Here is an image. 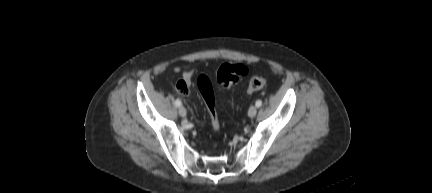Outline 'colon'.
<instances>
[{
  "label": "colon",
  "mask_w": 432,
  "mask_h": 193,
  "mask_svg": "<svg viewBox=\"0 0 432 193\" xmlns=\"http://www.w3.org/2000/svg\"><path fill=\"white\" fill-rule=\"evenodd\" d=\"M247 72V67L242 64H224L218 69L216 80L219 85L229 87L237 83L240 78L247 74ZM265 84L266 79L263 76H254L249 81L247 91L249 93L259 91L265 86ZM198 87L207 106L211 126L214 131H218L220 129V118L210 79L205 75H201L198 79Z\"/></svg>",
  "instance_id": "colon-1"
}]
</instances>
